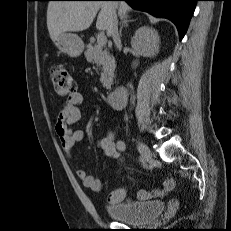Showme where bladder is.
Here are the masks:
<instances>
[{
  "label": "bladder",
  "mask_w": 231,
  "mask_h": 231,
  "mask_svg": "<svg viewBox=\"0 0 231 231\" xmlns=\"http://www.w3.org/2000/svg\"><path fill=\"white\" fill-rule=\"evenodd\" d=\"M162 201H128L119 205H109L106 212L116 221L132 225H148L164 211Z\"/></svg>",
  "instance_id": "obj_1"
}]
</instances>
